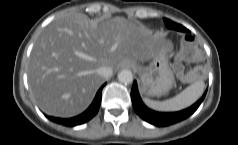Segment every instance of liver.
<instances>
[{
  "label": "liver",
  "mask_w": 238,
  "mask_h": 145,
  "mask_svg": "<svg viewBox=\"0 0 238 145\" xmlns=\"http://www.w3.org/2000/svg\"><path fill=\"white\" fill-rule=\"evenodd\" d=\"M163 45L158 34L124 17L91 20L68 14L44 28L34 43L27 70L31 93L46 114L75 116L104 81L99 67L149 61Z\"/></svg>",
  "instance_id": "obj_1"
}]
</instances>
